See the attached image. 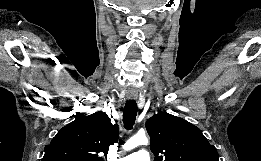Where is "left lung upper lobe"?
<instances>
[{"label":"left lung upper lobe","mask_w":261,"mask_h":161,"mask_svg":"<svg viewBox=\"0 0 261 161\" xmlns=\"http://www.w3.org/2000/svg\"><path fill=\"white\" fill-rule=\"evenodd\" d=\"M154 161H219L214 145L188 121L160 112L146 122Z\"/></svg>","instance_id":"left-lung-upper-lobe-1"}]
</instances>
